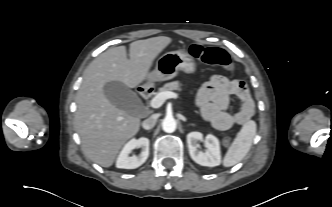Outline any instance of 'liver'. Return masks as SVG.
<instances>
[{
	"instance_id": "obj_1",
	"label": "liver",
	"mask_w": 332,
	"mask_h": 207,
	"mask_svg": "<svg viewBox=\"0 0 332 207\" xmlns=\"http://www.w3.org/2000/svg\"><path fill=\"white\" fill-rule=\"evenodd\" d=\"M169 37H153L113 47L102 53L85 69L77 93L75 128L85 155L102 167L113 165L122 146L137 134L140 119L114 106L104 94V85L119 81L135 88L150 75L154 59L170 43Z\"/></svg>"
}]
</instances>
